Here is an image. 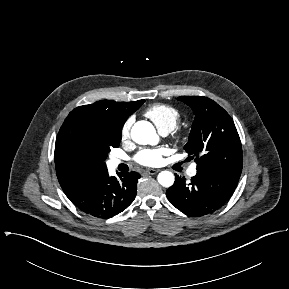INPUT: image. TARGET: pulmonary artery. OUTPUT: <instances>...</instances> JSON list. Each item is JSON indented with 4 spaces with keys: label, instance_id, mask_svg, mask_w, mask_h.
Listing matches in <instances>:
<instances>
[{
    "label": "pulmonary artery",
    "instance_id": "obj_1",
    "mask_svg": "<svg viewBox=\"0 0 289 289\" xmlns=\"http://www.w3.org/2000/svg\"><path fill=\"white\" fill-rule=\"evenodd\" d=\"M163 134H166V133H163ZM120 162H121V161H120L119 159H117V158H113V159L110 160V164H111L112 166H117ZM187 173H188V175L191 176V177L195 176L196 173H197L196 165H192V166L188 169V172H187Z\"/></svg>",
    "mask_w": 289,
    "mask_h": 289
}]
</instances>
